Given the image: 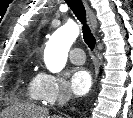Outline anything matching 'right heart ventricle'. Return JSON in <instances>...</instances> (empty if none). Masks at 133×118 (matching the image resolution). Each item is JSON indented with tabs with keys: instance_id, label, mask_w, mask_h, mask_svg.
I'll list each match as a JSON object with an SVG mask.
<instances>
[{
	"instance_id": "1",
	"label": "right heart ventricle",
	"mask_w": 133,
	"mask_h": 118,
	"mask_svg": "<svg viewBox=\"0 0 133 118\" xmlns=\"http://www.w3.org/2000/svg\"><path fill=\"white\" fill-rule=\"evenodd\" d=\"M26 94L29 100L32 102H37L38 100H41L38 93L37 76L30 77L28 79L26 85Z\"/></svg>"
}]
</instances>
